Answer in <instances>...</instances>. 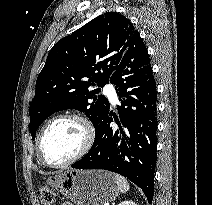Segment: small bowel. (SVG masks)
Here are the masks:
<instances>
[{
    "instance_id": "obj_1",
    "label": "small bowel",
    "mask_w": 212,
    "mask_h": 205,
    "mask_svg": "<svg viewBox=\"0 0 212 205\" xmlns=\"http://www.w3.org/2000/svg\"><path fill=\"white\" fill-rule=\"evenodd\" d=\"M61 205H73L71 203H62Z\"/></svg>"
}]
</instances>
